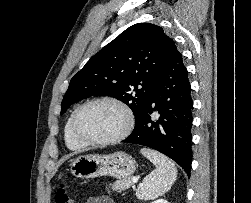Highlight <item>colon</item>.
I'll return each mask as SVG.
<instances>
[{"mask_svg": "<svg viewBox=\"0 0 251 203\" xmlns=\"http://www.w3.org/2000/svg\"><path fill=\"white\" fill-rule=\"evenodd\" d=\"M55 203H74L72 197L64 186L57 189L55 194Z\"/></svg>", "mask_w": 251, "mask_h": 203, "instance_id": "colon-1", "label": "colon"}]
</instances>
